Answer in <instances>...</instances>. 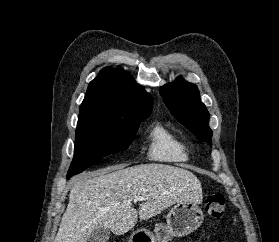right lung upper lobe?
<instances>
[{"mask_svg":"<svg viewBox=\"0 0 279 242\" xmlns=\"http://www.w3.org/2000/svg\"><path fill=\"white\" fill-rule=\"evenodd\" d=\"M153 106L151 96L121 68L105 67L89 83L79 117L121 123L142 122Z\"/></svg>","mask_w":279,"mask_h":242,"instance_id":"1","label":"right lung upper lobe"}]
</instances>
